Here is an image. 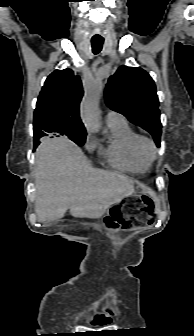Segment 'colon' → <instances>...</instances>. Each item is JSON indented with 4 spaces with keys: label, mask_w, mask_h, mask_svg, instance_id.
Instances as JSON below:
<instances>
[{
    "label": "colon",
    "mask_w": 194,
    "mask_h": 336,
    "mask_svg": "<svg viewBox=\"0 0 194 336\" xmlns=\"http://www.w3.org/2000/svg\"><path fill=\"white\" fill-rule=\"evenodd\" d=\"M141 212H152V202L146 195L124 200L119 207L113 210L110 216L105 218V223L111 228L139 224L142 222L139 216Z\"/></svg>",
    "instance_id": "colon-1"
}]
</instances>
